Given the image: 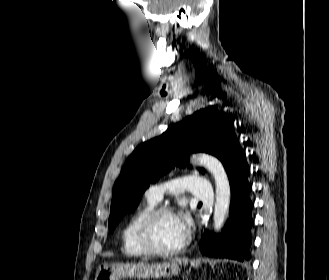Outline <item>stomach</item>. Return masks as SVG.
I'll return each mask as SVG.
<instances>
[{
  "mask_svg": "<svg viewBox=\"0 0 329 280\" xmlns=\"http://www.w3.org/2000/svg\"><path fill=\"white\" fill-rule=\"evenodd\" d=\"M180 263H104L96 271L95 280H120L121 278H169L180 273Z\"/></svg>",
  "mask_w": 329,
  "mask_h": 280,
  "instance_id": "0dacf381",
  "label": "stomach"
}]
</instances>
